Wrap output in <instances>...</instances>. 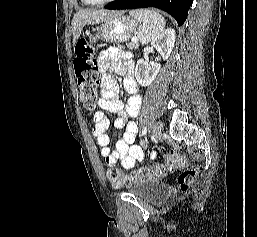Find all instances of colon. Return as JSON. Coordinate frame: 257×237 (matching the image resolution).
I'll return each mask as SVG.
<instances>
[{
  "mask_svg": "<svg viewBox=\"0 0 257 237\" xmlns=\"http://www.w3.org/2000/svg\"><path fill=\"white\" fill-rule=\"evenodd\" d=\"M73 65L80 97L86 108H95L97 100V89L99 85V68L96 59L93 57L91 46L87 37H81L75 45ZM167 167L157 165L154 167L139 168L130 174L110 167L106 170V176L111 185L115 188L129 186L132 182L144 180H158L164 177L167 170L173 171L188 164L187 158L179 153H170L166 157ZM198 171L194 168L182 170L178 175V184L181 190H188L193 184Z\"/></svg>",
  "mask_w": 257,
  "mask_h": 237,
  "instance_id": "1",
  "label": "colon"
}]
</instances>
